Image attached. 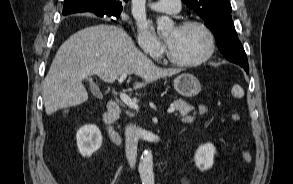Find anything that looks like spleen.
Instances as JSON below:
<instances>
[{
    "mask_svg": "<svg viewBox=\"0 0 293 184\" xmlns=\"http://www.w3.org/2000/svg\"><path fill=\"white\" fill-rule=\"evenodd\" d=\"M231 93L236 98H242L244 96V90L238 84H236L232 87Z\"/></svg>",
    "mask_w": 293,
    "mask_h": 184,
    "instance_id": "obj_1",
    "label": "spleen"
}]
</instances>
